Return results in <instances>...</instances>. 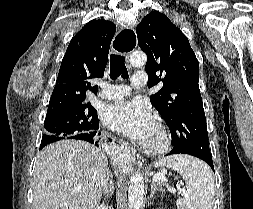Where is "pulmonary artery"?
<instances>
[{
	"label": "pulmonary artery",
	"instance_id": "obj_1",
	"mask_svg": "<svg viewBox=\"0 0 253 209\" xmlns=\"http://www.w3.org/2000/svg\"><path fill=\"white\" fill-rule=\"evenodd\" d=\"M132 86L134 88L144 87L147 83L146 73L144 71H137L134 73L132 80ZM102 91L99 97L103 99H118L126 96L130 88L124 84H113V85H103Z\"/></svg>",
	"mask_w": 253,
	"mask_h": 209
}]
</instances>
